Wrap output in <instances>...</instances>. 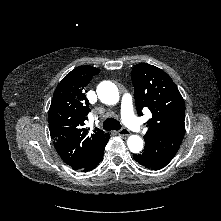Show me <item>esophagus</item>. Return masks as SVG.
<instances>
[{
  "mask_svg": "<svg viewBox=\"0 0 221 221\" xmlns=\"http://www.w3.org/2000/svg\"><path fill=\"white\" fill-rule=\"evenodd\" d=\"M117 134L120 135V136H129L130 131L127 128H122L121 130H119L117 132Z\"/></svg>",
  "mask_w": 221,
  "mask_h": 221,
  "instance_id": "1",
  "label": "esophagus"
}]
</instances>
